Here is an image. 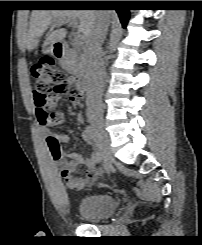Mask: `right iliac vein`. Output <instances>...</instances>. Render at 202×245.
I'll return each mask as SVG.
<instances>
[{"label":"right iliac vein","mask_w":202,"mask_h":245,"mask_svg":"<svg viewBox=\"0 0 202 245\" xmlns=\"http://www.w3.org/2000/svg\"><path fill=\"white\" fill-rule=\"evenodd\" d=\"M91 125L94 127L99 143L101 144L104 152V156L107 160L106 167L109 162L112 160L111 148H110V140L107 132L104 130L103 123L101 120L90 117L89 118Z\"/></svg>","instance_id":"63e3f726"}]
</instances>
